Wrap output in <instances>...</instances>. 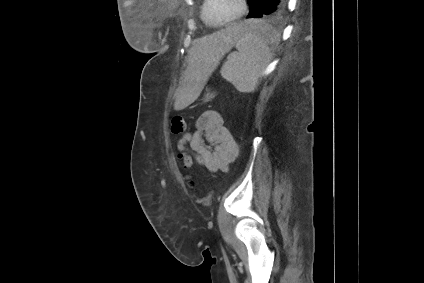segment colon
<instances>
[{
  "mask_svg": "<svg viewBox=\"0 0 424 283\" xmlns=\"http://www.w3.org/2000/svg\"><path fill=\"white\" fill-rule=\"evenodd\" d=\"M186 130H187V123L185 119L179 115L173 116L171 119V132L173 134H182ZM180 156L183 159L185 168L186 169L191 168L193 165L191 158L188 155H184V154H181ZM190 185L193 186L194 182L190 181Z\"/></svg>",
  "mask_w": 424,
  "mask_h": 283,
  "instance_id": "5ec220e1",
  "label": "colon"
}]
</instances>
